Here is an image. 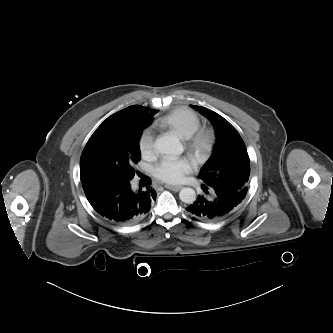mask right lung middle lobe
<instances>
[{"label": "right lung middle lobe", "mask_w": 333, "mask_h": 333, "mask_svg": "<svg viewBox=\"0 0 333 333\" xmlns=\"http://www.w3.org/2000/svg\"><path fill=\"white\" fill-rule=\"evenodd\" d=\"M152 116L133 105L108 117L87 142L80 159L81 181L131 180L140 158L139 139Z\"/></svg>", "instance_id": "right-lung-middle-lobe-1"}]
</instances>
